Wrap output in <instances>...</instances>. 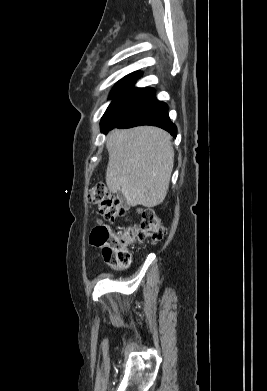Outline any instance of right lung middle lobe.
<instances>
[{
	"mask_svg": "<svg viewBox=\"0 0 267 391\" xmlns=\"http://www.w3.org/2000/svg\"><path fill=\"white\" fill-rule=\"evenodd\" d=\"M137 78L139 77L126 76L124 79L118 82L111 93V97L114 99L104 113L101 119V125L108 121L119 108H121L135 94L142 90V88H135L133 86Z\"/></svg>",
	"mask_w": 267,
	"mask_h": 391,
	"instance_id": "1",
	"label": "right lung middle lobe"
}]
</instances>
